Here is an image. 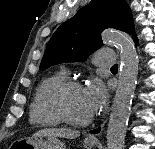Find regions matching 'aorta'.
<instances>
[{
	"instance_id": "obj_1",
	"label": "aorta",
	"mask_w": 155,
	"mask_h": 149,
	"mask_svg": "<svg viewBox=\"0 0 155 149\" xmlns=\"http://www.w3.org/2000/svg\"><path fill=\"white\" fill-rule=\"evenodd\" d=\"M102 39L104 43L116 45L120 49V72L108 123L107 149H123L137 83L139 59L134 43L127 34L107 30L102 33Z\"/></svg>"
}]
</instances>
